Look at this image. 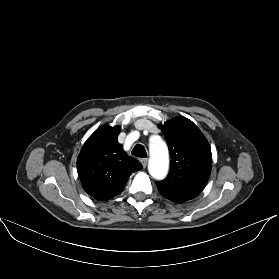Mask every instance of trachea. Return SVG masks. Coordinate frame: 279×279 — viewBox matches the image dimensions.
I'll return each instance as SVG.
<instances>
[{
  "mask_svg": "<svg viewBox=\"0 0 279 279\" xmlns=\"http://www.w3.org/2000/svg\"><path fill=\"white\" fill-rule=\"evenodd\" d=\"M132 155L136 157L146 158L147 152L141 144H137L132 150Z\"/></svg>",
  "mask_w": 279,
  "mask_h": 279,
  "instance_id": "1",
  "label": "trachea"
}]
</instances>
